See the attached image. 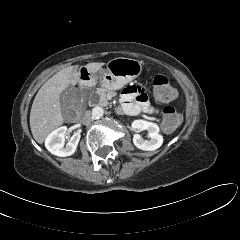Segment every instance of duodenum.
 Masks as SVG:
<instances>
[{
	"instance_id": "duodenum-1",
	"label": "duodenum",
	"mask_w": 240,
	"mask_h": 240,
	"mask_svg": "<svg viewBox=\"0 0 240 240\" xmlns=\"http://www.w3.org/2000/svg\"><path fill=\"white\" fill-rule=\"evenodd\" d=\"M81 79H82V83H83L84 85H89V84L91 83V78H90V76L87 75V74H83L82 77H81Z\"/></svg>"
}]
</instances>
